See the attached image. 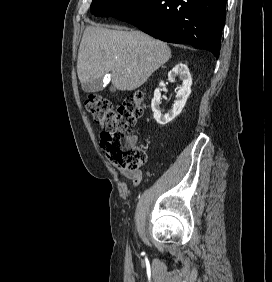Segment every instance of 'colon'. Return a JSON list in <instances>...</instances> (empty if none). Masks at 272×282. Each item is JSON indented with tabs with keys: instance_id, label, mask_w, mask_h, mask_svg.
I'll use <instances>...</instances> for the list:
<instances>
[{
	"instance_id": "obj_1",
	"label": "colon",
	"mask_w": 272,
	"mask_h": 282,
	"mask_svg": "<svg viewBox=\"0 0 272 282\" xmlns=\"http://www.w3.org/2000/svg\"><path fill=\"white\" fill-rule=\"evenodd\" d=\"M87 111L106 131L101 135V147L109 161L119 169L135 170L146 160L144 151L133 143L131 128L144 112L143 94L127 97L117 107L101 96L91 95L85 101Z\"/></svg>"
}]
</instances>
